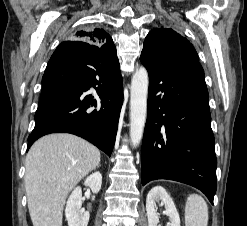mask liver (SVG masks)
Instances as JSON below:
<instances>
[{
    "mask_svg": "<svg viewBox=\"0 0 247 226\" xmlns=\"http://www.w3.org/2000/svg\"><path fill=\"white\" fill-rule=\"evenodd\" d=\"M100 163V152L71 134L36 141L26 156L25 189L33 226H62L69 192Z\"/></svg>",
    "mask_w": 247,
    "mask_h": 226,
    "instance_id": "liver-1",
    "label": "liver"
}]
</instances>
